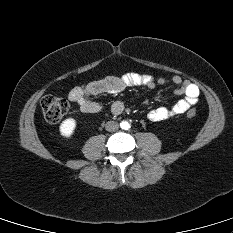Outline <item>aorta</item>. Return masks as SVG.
<instances>
[{
  "instance_id": "aorta-1",
  "label": "aorta",
  "mask_w": 233,
  "mask_h": 233,
  "mask_svg": "<svg viewBox=\"0 0 233 233\" xmlns=\"http://www.w3.org/2000/svg\"><path fill=\"white\" fill-rule=\"evenodd\" d=\"M120 126H121V128L124 129V130H128V129L130 128V125H129V123H128L127 121H122V122L120 123Z\"/></svg>"
}]
</instances>
